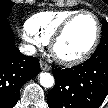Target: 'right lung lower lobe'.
I'll return each instance as SVG.
<instances>
[{"label":"right lung lower lobe","mask_w":108,"mask_h":108,"mask_svg":"<svg viewBox=\"0 0 108 108\" xmlns=\"http://www.w3.org/2000/svg\"><path fill=\"white\" fill-rule=\"evenodd\" d=\"M39 71V60L18 50L7 20H0V108L14 107L23 84Z\"/></svg>","instance_id":"98d812e1"}]
</instances>
